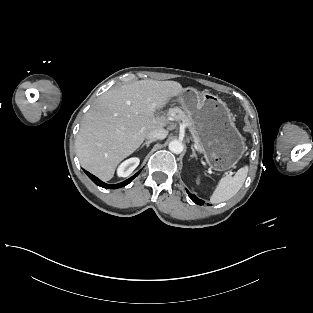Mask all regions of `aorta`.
<instances>
[{"label":"aorta","mask_w":313,"mask_h":313,"mask_svg":"<svg viewBox=\"0 0 313 313\" xmlns=\"http://www.w3.org/2000/svg\"><path fill=\"white\" fill-rule=\"evenodd\" d=\"M169 150L175 154H180L183 151V144L179 140H173L169 143Z\"/></svg>","instance_id":"aorta-1"}]
</instances>
